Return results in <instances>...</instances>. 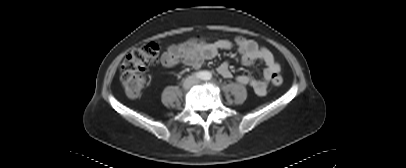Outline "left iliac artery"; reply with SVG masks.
Returning <instances> with one entry per match:
<instances>
[{"label": "left iliac artery", "instance_id": "obj_1", "mask_svg": "<svg viewBox=\"0 0 406 168\" xmlns=\"http://www.w3.org/2000/svg\"><path fill=\"white\" fill-rule=\"evenodd\" d=\"M210 79H211V75L209 73H207L204 80H210Z\"/></svg>", "mask_w": 406, "mask_h": 168}]
</instances>
